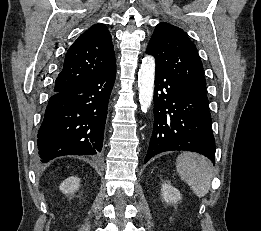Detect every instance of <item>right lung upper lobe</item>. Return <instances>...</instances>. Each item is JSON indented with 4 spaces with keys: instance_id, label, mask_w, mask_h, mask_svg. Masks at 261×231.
I'll return each instance as SVG.
<instances>
[{
    "instance_id": "obj_1",
    "label": "right lung upper lobe",
    "mask_w": 261,
    "mask_h": 231,
    "mask_svg": "<svg viewBox=\"0 0 261 231\" xmlns=\"http://www.w3.org/2000/svg\"><path fill=\"white\" fill-rule=\"evenodd\" d=\"M112 37L104 24H94L68 49L54 92H62L96 78L115 64Z\"/></svg>"
}]
</instances>
